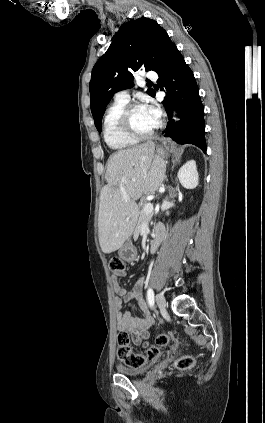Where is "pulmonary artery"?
Listing matches in <instances>:
<instances>
[{
	"mask_svg": "<svg viewBox=\"0 0 265 423\" xmlns=\"http://www.w3.org/2000/svg\"><path fill=\"white\" fill-rule=\"evenodd\" d=\"M146 78L149 80H155L157 78V74L154 71H150L147 73ZM130 99L129 93L126 90L119 91L115 94V100L128 102Z\"/></svg>",
	"mask_w": 265,
	"mask_h": 423,
	"instance_id": "1",
	"label": "pulmonary artery"
}]
</instances>
